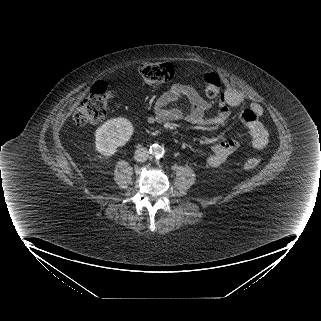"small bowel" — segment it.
Wrapping results in <instances>:
<instances>
[{
  "label": "small bowel",
  "mask_w": 321,
  "mask_h": 321,
  "mask_svg": "<svg viewBox=\"0 0 321 321\" xmlns=\"http://www.w3.org/2000/svg\"><path fill=\"white\" fill-rule=\"evenodd\" d=\"M186 99L191 105L188 114H184L176 108L166 106L174 101ZM243 101L242 95L235 90H228L218 102L217 113L207 117L210 103L203 98L192 86L175 84L168 91L159 95L153 104L152 112L147 117L149 124L170 121L186 120L198 125H222L229 120L232 109L239 106ZM263 108L259 103L253 102L239 114L240 124L247 130L251 146L255 150H262L268 143L269 133L262 123ZM238 147L236 139H228L212 146L206 163L211 168L219 167Z\"/></svg>",
  "instance_id": "c3829d8e"
}]
</instances>
